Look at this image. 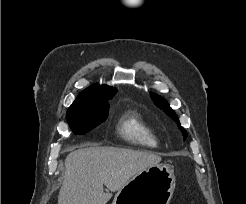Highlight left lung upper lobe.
Masks as SVG:
<instances>
[{
    "instance_id": "5c2ea615",
    "label": "left lung upper lobe",
    "mask_w": 246,
    "mask_h": 204,
    "mask_svg": "<svg viewBox=\"0 0 246 204\" xmlns=\"http://www.w3.org/2000/svg\"><path fill=\"white\" fill-rule=\"evenodd\" d=\"M151 99L154 101L155 105L162 109L168 116H170L178 124L179 129L181 130L184 139L187 137V132L184 128L181 127L179 119L177 118L175 112L170 108L169 104L160 96L156 94H150Z\"/></svg>"
}]
</instances>
